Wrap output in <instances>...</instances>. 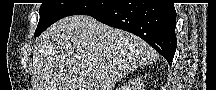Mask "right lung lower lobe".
<instances>
[{
	"label": "right lung lower lobe",
	"instance_id": "98d812e1",
	"mask_svg": "<svg viewBox=\"0 0 216 90\" xmlns=\"http://www.w3.org/2000/svg\"><path fill=\"white\" fill-rule=\"evenodd\" d=\"M87 15L139 36L171 65L176 51L174 4H109Z\"/></svg>",
	"mask_w": 216,
	"mask_h": 90
}]
</instances>
